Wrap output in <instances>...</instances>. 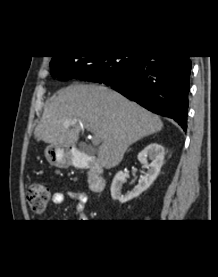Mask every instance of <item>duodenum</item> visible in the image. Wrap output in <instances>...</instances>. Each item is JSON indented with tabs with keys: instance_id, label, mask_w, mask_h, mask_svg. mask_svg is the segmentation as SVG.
<instances>
[{
	"instance_id": "410a0bca",
	"label": "duodenum",
	"mask_w": 218,
	"mask_h": 277,
	"mask_svg": "<svg viewBox=\"0 0 218 277\" xmlns=\"http://www.w3.org/2000/svg\"><path fill=\"white\" fill-rule=\"evenodd\" d=\"M72 165L78 169L88 170V186L94 193H102L105 189V179L102 175V167L94 156L81 151L71 154Z\"/></svg>"
}]
</instances>
